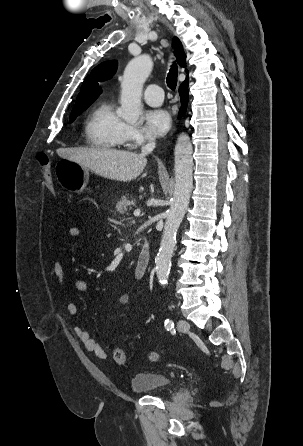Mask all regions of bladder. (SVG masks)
Here are the masks:
<instances>
[{"instance_id": "31cf9c89", "label": "bladder", "mask_w": 303, "mask_h": 446, "mask_svg": "<svg viewBox=\"0 0 303 446\" xmlns=\"http://www.w3.org/2000/svg\"><path fill=\"white\" fill-rule=\"evenodd\" d=\"M172 384V379L163 374L143 372L131 379V390L136 394H149L168 389Z\"/></svg>"}]
</instances>
